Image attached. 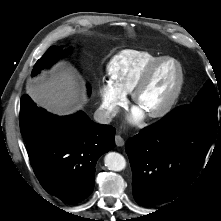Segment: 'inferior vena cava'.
Segmentation results:
<instances>
[{
	"mask_svg": "<svg viewBox=\"0 0 221 221\" xmlns=\"http://www.w3.org/2000/svg\"><path fill=\"white\" fill-rule=\"evenodd\" d=\"M118 113V107H99L94 113V120L97 123L109 124Z\"/></svg>",
	"mask_w": 221,
	"mask_h": 221,
	"instance_id": "1",
	"label": "inferior vena cava"
}]
</instances>
